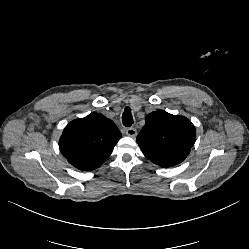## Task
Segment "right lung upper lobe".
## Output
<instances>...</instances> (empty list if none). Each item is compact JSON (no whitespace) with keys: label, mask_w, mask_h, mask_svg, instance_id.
I'll return each instance as SVG.
<instances>
[{"label":"right lung upper lobe","mask_w":249,"mask_h":249,"mask_svg":"<svg viewBox=\"0 0 249 249\" xmlns=\"http://www.w3.org/2000/svg\"><path fill=\"white\" fill-rule=\"evenodd\" d=\"M121 136L112 120L101 113H91L66 126L59 148L75 168L90 171L107 160Z\"/></svg>","instance_id":"obj_1"}]
</instances>
